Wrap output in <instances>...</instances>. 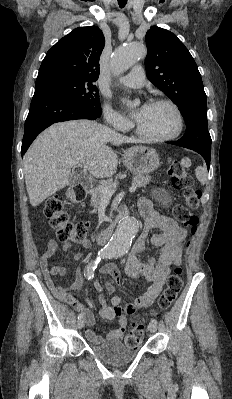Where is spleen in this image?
<instances>
[{
  "label": "spleen",
  "instance_id": "spleen-1",
  "mask_svg": "<svg viewBox=\"0 0 232 399\" xmlns=\"http://www.w3.org/2000/svg\"><path fill=\"white\" fill-rule=\"evenodd\" d=\"M195 176L197 180H199L200 184L204 186L207 182V170L204 168V166H198L195 170Z\"/></svg>",
  "mask_w": 232,
  "mask_h": 399
}]
</instances>
